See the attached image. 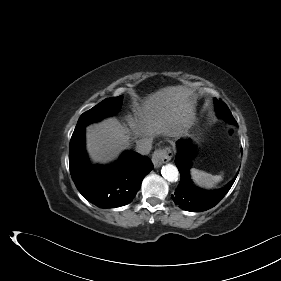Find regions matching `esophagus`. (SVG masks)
<instances>
[{
	"instance_id": "esophagus-1",
	"label": "esophagus",
	"mask_w": 281,
	"mask_h": 281,
	"mask_svg": "<svg viewBox=\"0 0 281 281\" xmlns=\"http://www.w3.org/2000/svg\"><path fill=\"white\" fill-rule=\"evenodd\" d=\"M173 157V152L170 148H160L154 151L152 154V162L155 168L160 167L162 164L167 163Z\"/></svg>"
}]
</instances>
